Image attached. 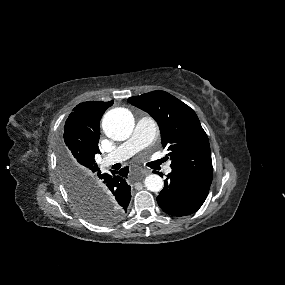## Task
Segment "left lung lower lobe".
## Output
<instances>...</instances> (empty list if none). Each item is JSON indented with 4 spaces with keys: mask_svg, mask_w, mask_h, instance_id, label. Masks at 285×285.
<instances>
[{
    "mask_svg": "<svg viewBox=\"0 0 285 285\" xmlns=\"http://www.w3.org/2000/svg\"><path fill=\"white\" fill-rule=\"evenodd\" d=\"M157 197L160 208L173 216L196 212L204 203L212 182L211 176L172 170Z\"/></svg>",
    "mask_w": 285,
    "mask_h": 285,
    "instance_id": "0a47b994",
    "label": "left lung lower lobe"
}]
</instances>
